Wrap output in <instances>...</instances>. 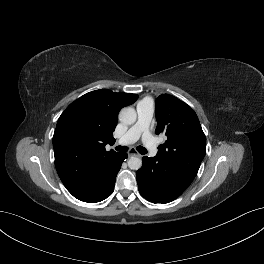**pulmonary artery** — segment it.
<instances>
[{
    "mask_svg": "<svg viewBox=\"0 0 264 264\" xmlns=\"http://www.w3.org/2000/svg\"><path fill=\"white\" fill-rule=\"evenodd\" d=\"M137 121L127 131V133L118 140L119 145H129L136 142L140 137L151 156L157 154L156 143L149 133V125L154 113V106L150 101L144 100L137 105Z\"/></svg>",
    "mask_w": 264,
    "mask_h": 264,
    "instance_id": "e3ab8cb5",
    "label": "pulmonary artery"
}]
</instances>
